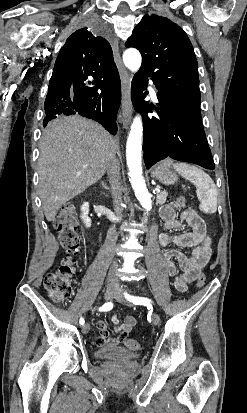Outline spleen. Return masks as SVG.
<instances>
[{
  "mask_svg": "<svg viewBox=\"0 0 247 413\" xmlns=\"http://www.w3.org/2000/svg\"><path fill=\"white\" fill-rule=\"evenodd\" d=\"M175 170H178L184 178H188L194 182L197 190V196L201 202L200 207L205 213H216L217 211V188L211 176L187 162H175L173 164Z\"/></svg>",
  "mask_w": 247,
  "mask_h": 413,
  "instance_id": "spleen-1",
  "label": "spleen"
}]
</instances>
